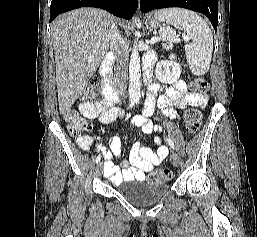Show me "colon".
<instances>
[{
	"instance_id": "1",
	"label": "colon",
	"mask_w": 257,
	"mask_h": 237,
	"mask_svg": "<svg viewBox=\"0 0 257 237\" xmlns=\"http://www.w3.org/2000/svg\"><path fill=\"white\" fill-rule=\"evenodd\" d=\"M209 80L205 75L195 77L191 83V89L196 92L204 93L208 90ZM99 93L98 83L92 81L85 89L83 98L93 100ZM65 120L68 123V130L72 135H78L83 131H89L92 124L89 120L79 116L75 110H69L65 113ZM202 123V114L195 108H188L185 112V127L188 133L195 134ZM171 173L168 169H159L153 171L148 180L150 182L166 181L170 178Z\"/></svg>"
}]
</instances>
